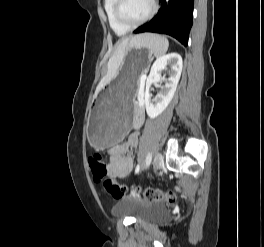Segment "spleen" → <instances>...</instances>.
I'll return each mask as SVG.
<instances>
[{"label": "spleen", "instance_id": "3e777b00", "mask_svg": "<svg viewBox=\"0 0 264 247\" xmlns=\"http://www.w3.org/2000/svg\"><path fill=\"white\" fill-rule=\"evenodd\" d=\"M141 44L150 49V51L156 57H159L166 53L169 46L167 38L156 34H146L144 36V39L141 41Z\"/></svg>", "mask_w": 264, "mask_h": 247}]
</instances>
